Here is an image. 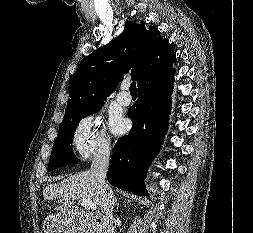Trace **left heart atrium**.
<instances>
[{"label": "left heart atrium", "instance_id": "1", "mask_svg": "<svg viewBox=\"0 0 253 233\" xmlns=\"http://www.w3.org/2000/svg\"><path fill=\"white\" fill-rule=\"evenodd\" d=\"M111 127L116 134H122L127 131L128 122L121 117H115L111 120Z\"/></svg>", "mask_w": 253, "mask_h": 233}]
</instances>
